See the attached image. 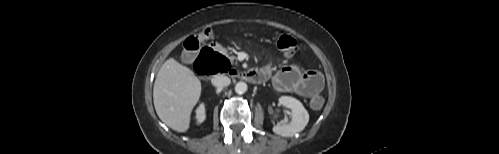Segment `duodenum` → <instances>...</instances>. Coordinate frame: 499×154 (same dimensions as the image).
Masks as SVG:
<instances>
[{
	"instance_id": "duodenum-1",
	"label": "duodenum",
	"mask_w": 499,
	"mask_h": 154,
	"mask_svg": "<svg viewBox=\"0 0 499 154\" xmlns=\"http://www.w3.org/2000/svg\"><path fill=\"white\" fill-rule=\"evenodd\" d=\"M221 55L213 50H210L205 55L198 58L196 62V71L201 76H209L219 66L215 58ZM235 77L253 84H260L265 81L264 75L259 71L236 72Z\"/></svg>"
}]
</instances>
